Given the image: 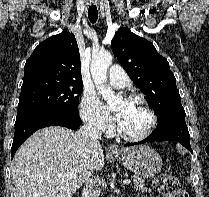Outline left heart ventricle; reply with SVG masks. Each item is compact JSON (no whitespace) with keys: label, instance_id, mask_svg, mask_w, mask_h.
<instances>
[{"label":"left heart ventricle","instance_id":"1","mask_svg":"<svg viewBox=\"0 0 209 197\" xmlns=\"http://www.w3.org/2000/svg\"><path fill=\"white\" fill-rule=\"evenodd\" d=\"M124 105H127V107L118 120L119 126L128 134H140L149 125L150 117L148 112L141 103L132 101H120L116 105V110L119 111Z\"/></svg>","mask_w":209,"mask_h":197}]
</instances>
